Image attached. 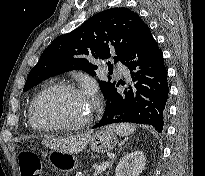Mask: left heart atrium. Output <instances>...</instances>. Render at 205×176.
Returning a JSON list of instances; mask_svg holds the SVG:
<instances>
[{
	"instance_id": "39dd6f15",
	"label": "left heart atrium",
	"mask_w": 205,
	"mask_h": 176,
	"mask_svg": "<svg viewBox=\"0 0 205 176\" xmlns=\"http://www.w3.org/2000/svg\"><path fill=\"white\" fill-rule=\"evenodd\" d=\"M88 97H89L92 101H94V100H95V93H94L93 91L89 90V91H88Z\"/></svg>"
}]
</instances>
